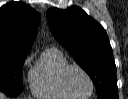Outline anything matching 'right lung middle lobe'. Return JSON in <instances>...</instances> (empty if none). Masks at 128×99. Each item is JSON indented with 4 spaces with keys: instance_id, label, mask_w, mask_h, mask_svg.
I'll return each mask as SVG.
<instances>
[{
    "instance_id": "obj_1",
    "label": "right lung middle lobe",
    "mask_w": 128,
    "mask_h": 99,
    "mask_svg": "<svg viewBox=\"0 0 128 99\" xmlns=\"http://www.w3.org/2000/svg\"><path fill=\"white\" fill-rule=\"evenodd\" d=\"M27 53L0 52V91L16 96L23 90L22 67Z\"/></svg>"
}]
</instances>
